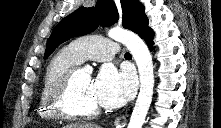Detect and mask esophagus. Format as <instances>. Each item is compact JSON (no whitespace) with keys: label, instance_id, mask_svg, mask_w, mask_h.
<instances>
[{"label":"esophagus","instance_id":"obj_1","mask_svg":"<svg viewBox=\"0 0 221 128\" xmlns=\"http://www.w3.org/2000/svg\"><path fill=\"white\" fill-rule=\"evenodd\" d=\"M125 125H126V118L124 116H119L114 122L115 128H122L125 127Z\"/></svg>","mask_w":221,"mask_h":128}]
</instances>
